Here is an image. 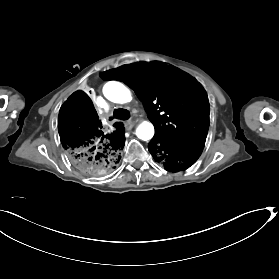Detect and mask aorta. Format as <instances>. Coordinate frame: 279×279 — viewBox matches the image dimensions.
<instances>
[{
  "mask_svg": "<svg viewBox=\"0 0 279 279\" xmlns=\"http://www.w3.org/2000/svg\"><path fill=\"white\" fill-rule=\"evenodd\" d=\"M104 96L111 102L124 104L132 100L130 90L120 82L109 81L103 87ZM139 139L147 141L154 136V126L151 122L144 121L136 129Z\"/></svg>",
  "mask_w": 279,
  "mask_h": 279,
  "instance_id": "obj_1",
  "label": "aorta"
}]
</instances>
